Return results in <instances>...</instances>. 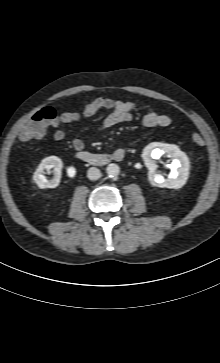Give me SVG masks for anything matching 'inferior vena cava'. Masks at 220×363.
Masks as SVG:
<instances>
[{
    "instance_id": "obj_1",
    "label": "inferior vena cava",
    "mask_w": 220,
    "mask_h": 363,
    "mask_svg": "<svg viewBox=\"0 0 220 363\" xmlns=\"http://www.w3.org/2000/svg\"><path fill=\"white\" fill-rule=\"evenodd\" d=\"M101 176V172L98 168L96 167H91L88 169L87 171V177L90 179V180H97L99 179Z\"/></svg>"
}]
</instances>
